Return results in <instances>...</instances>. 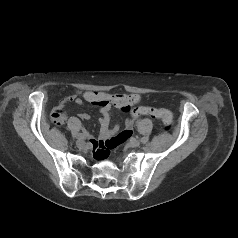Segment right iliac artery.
Returning a JSON list of instances; mask_svg holds the SVG:
<instances>
[{
	"label": "right iliac artery",
	"mask_w": 238,
	"mask_h": 238,
	"mask_svg": "<svg viewBox=\"0 0 238 238\" xmlns=\"http://www.w3.org/2000/svg\"><path fill=\"white\" fill-rule=\"evenodd\" d=\"M86 136H87L86 133H79V134H78V138H79V139H84Z\"/></svg>",
	"instance_id": "obj_1"
}]
</instances>
